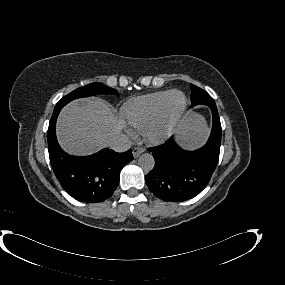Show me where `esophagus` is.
<instances>
[{"mask_svg": "<svg viewBox=\"0 0 285 285\" xmlns=\"http://www.w3.org/2000/svg\"><path fill=\"white\" fill-rule=\"evenodd\" d=\"M145 149L143 147H135L133 149V157L137 158L141 153H143Z\"/></svg>", "mask_w": 285, "mask_h": 285, "instance_id": "34e87169", "label": "esophagus"}]
</instances>
